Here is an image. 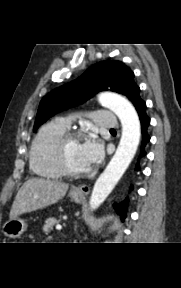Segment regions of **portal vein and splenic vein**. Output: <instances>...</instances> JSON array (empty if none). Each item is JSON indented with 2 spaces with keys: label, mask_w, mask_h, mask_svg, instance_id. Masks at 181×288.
Segmentation results:
<instances>
[{
  "label": "portal vein and splenic vein",
  "mask_w": 181,
  "mask_h": 288,
  "mask_svg": "<svg viewBox=\"0 0 181 288\" xmlns=\"http://www.w3.org/2000/svg\"><path fill=\"white\" fill-rule=\"evenodd\" d=\"M56 229H57V230H61L62 227H61L60 225H57V226H56Z\"/></svg>",
  "instance_id": "portal-vein-and-splenic-vein-1"
}]
</instances>
